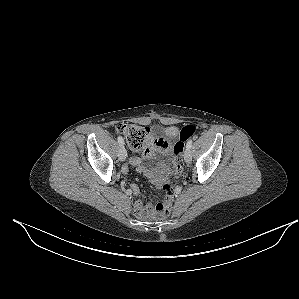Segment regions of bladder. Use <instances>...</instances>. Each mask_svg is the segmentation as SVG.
I'll return each mask as SVG.
<instances>
[{
    "mask_svg": "<svg viewBox=\"0 0 299 299\" xmlns=\"http://www.w3.org/2000/svg\"><path fill=\"white\" fill-rule=\"evenodd\" d=\"M173 153L171 149H164L154 146L150 152L149 159L153 163H168L172 160Z\"/></svg>",
    "mask_w": 299,
    "mask_h": 299,
    "instance_id": "obj_1",
    "label": "bladder"
}]
</instances>
